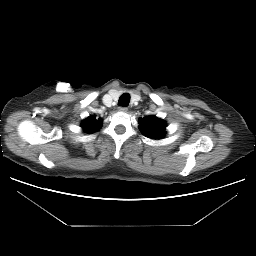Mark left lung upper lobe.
Segmentation results:
<instances>
[{"mask_svg":"<svg viewBox=\"0 0 256 256\" xmlns=\"http://www.w3.org/2000/svg\"><path fill=\"white\" fill-rule=\"evenodd\" d=\"M165 128V122L156 116H147L139 119V129L149 138H162L166 132Z\"/></svg>","mask_w":256,"mask_h":256,"instance_id":"5c2ea615","label":"left lung upper lobe"}]
</instances>
